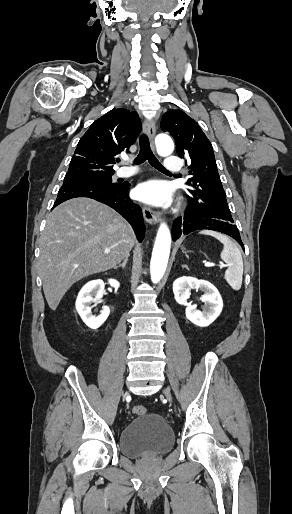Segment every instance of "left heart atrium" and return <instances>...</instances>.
Returning <instances> with one entry per match:
<instances>
[{"mask_svg": "<svg viewBox=\"0 0 292 514\" xmlns=\"http://www.w3.org/2000/svg\"><path fill=\"white\" fill-rule=\"evenodd\" d=\"M136 196L151 204H164L170 199L165 183L159 180H150L140 184L136 189Z\"/></svg>", "mask_w": 292, "mask_h": 514, "instance_id": "left-heart-atrium-1", "label": "left heart atrium"}]
</instances>
